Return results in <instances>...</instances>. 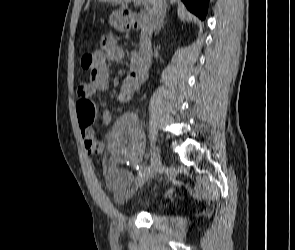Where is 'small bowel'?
<instances>
[{
	"instance_id": "obj_1",
	"label": "small bowel",
	"mask_w": 295,
	"mask_h": 250,
	"mask_svg": "<svg viewBox=\"0 0 295 250\" xmlns=\"http://www.w3.org/2000/svg\"><path fill=\"white\" fill-rule=\"evenodd\" d=\"M100 47V50L93 53L96 65L91 71L90 81L77 88V95L80 99L90 98L98 92H107L110 89L109 62L122 60L125 56L124 51L112 36L103 37ZM140 84L132 67L128 76L123 80L117 96L118 102L123 104L129 102L139 90ZM111 119L110 111L105 109L102 113L103 123L109 125ZM110 137V152L115 162L130 158L138 159L143 152V133L137 116L132 112H127L116 120ZM82 139L88 154L98 155L104 151L103 143L95 138L91 129H82ZM107 182L117 198L124 199L129 195L133 175L125 169L111 168L108 171Z\"/></svg>"
}]
</instances>
